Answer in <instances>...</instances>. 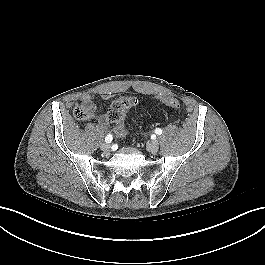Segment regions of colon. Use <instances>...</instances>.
Segmentation results:
<instances>
[{
	"label": "colon",
	"instance_id": "colon-1",
	"mask_svg": "<svg viewBox=\"0 0 265 265\" xmlns=\"http://www.w3.org/2000/svg\"><path fill=\"white\" fill-rule=\"evenodd\" d=\"M162 101L172 109H178L180 107V102L175 97L164 96ZM137 104V98L132 96L118 98L111 104L108 111V119L114 124L116 135H125L126 128L124 126V119L126 112ZM74 117L80 122H86L92 118V110L84 105L77 106L74 109Z\"/></svg>",
	"mask_w": 265,
	"mask_h": 265
}]
</instances>
